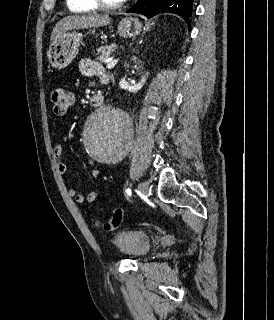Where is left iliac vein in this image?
<instances>
[{
	"label": "left iliac vein",
	"instance_id": "obj_1",
	"mask_svg": "<svg viewBox=\"0 0 274 320\" xmlns=\"http://www.w3.org/2000/svg\"><path fill=\"white\" fill-rule=\"evenodd\" d=\"M138 188H139V191L141 192V194L143 196H148L149 194V186L146 182H141L139 185H138Z\"/></svg>",
	"mask_w": 274,
	"mask_h": 320
}]
</instances>
